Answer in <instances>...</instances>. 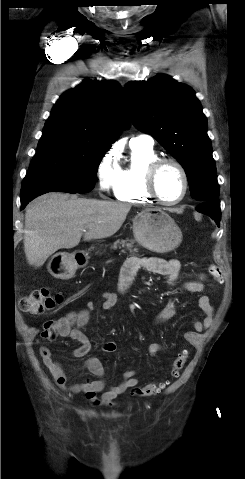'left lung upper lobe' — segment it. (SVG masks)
Listing matches in <instances>:
<instances>
[{"label": "left lung upper lobe", "instance_id": "5c2ea615", "mask_svg": "<svg viewBox=\"0 0 245 479\" xmlns=\"http://www.w3.org/2000/svg\"><path fill=\"white\" fill-rule=\"evenodd\" d=\"M133 124L151 134L183 166L191 196L217 198L219 185L207 119L194 91L168 75L124 87Z\"/></svg>", "mask_w": 245, "mask_h": 479}]
</instances>
